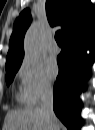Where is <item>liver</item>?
I'll list each match as a JSON object with an SVG mask.
<instances>
[{
    "label": "liver",
    "mask_w": 95,
    "mask_h": 130,
    "mask_svg": "<svg viewBox=\"0 0 95 130\" xmlns=\"http://www.w3.org/2000/svg\"><path fill=\"white\" fill-rule=\"evenodd\" d=\"M55 127L60 130L58 120ZM3 128V130H49L50 127L39 107H32L8 111Z\"/></svg>",
    "instance_id": "1"
}]
</instances>
